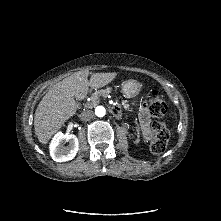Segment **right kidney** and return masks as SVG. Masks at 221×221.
<instances>
[{
	"label": "right kidney",
	"instance_id": "ca27d5eb",
	"mask_svg": "<svg viewBox=\"0 0 221 221\" xmlns=\"http://www.w3.org/2000/svg\"><path fill=\"white\" fill-rule=\"evenodd\" d=\"M69 142L68 146L65 143ZM78 138L75 135L57 133L50 144V155L56 162L72 160L78 152Z\"/></svg>",
	"mask_w": 221,
	"mask_h": 221
}]
</instances>
